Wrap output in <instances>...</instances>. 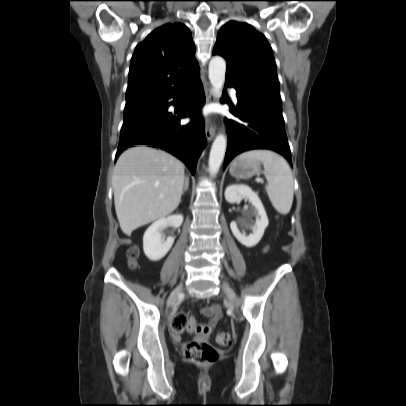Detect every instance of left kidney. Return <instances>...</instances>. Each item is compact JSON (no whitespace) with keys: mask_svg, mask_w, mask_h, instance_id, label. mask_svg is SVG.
I'll use <instances>...</instances> for the list:
<instances>
[{"mask_svg":"<svg viewBox=\"0 0 406 406\" xmlns=\"http://www.w3.org/2000/svg\"><path fill=\"white\" fill-rule=\"evenodd\" d=\"M225 199L229 203H238L242 199H247L254 209L249 213V216L255 217V222L249 219L243 222V226L251 229L253 232L249 235L242 234L238 229L237 223L232 221L230 224L231 231L235 238L246 247H254L261 240L264 230L268 226V217L266 215L263 204L258 195L246 185L233 184L226 188Z\"/></svg>","mask_w":406,"mask_h":406,"instance_id":"obj_1","label":"left kidney"}]
</instances>
